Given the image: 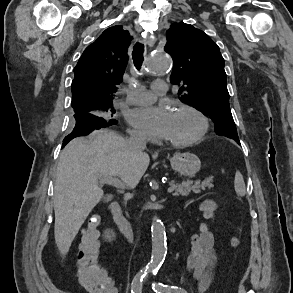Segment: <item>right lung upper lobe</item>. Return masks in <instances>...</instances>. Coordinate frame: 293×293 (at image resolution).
<instances>
[{
    "label": "right lung upper lobe",
    "instance_id": "obj_1",
    "mask_svg": "<svg viewBox=\"0 0 293 293\" xmlns=\"http://www.w3.org/2000/svg\"><path fill=\"white\" fill-rule=\"evenodd\" d=\"M131 40L129 32L117 25L107 28L85 49L74 68L72 107L75 114L96 115L92 109L94 104L112 102L116 86L123 80Z\"/></svg>",
    "mask_w": 293,
    "mask_h": 293
}]
</instances>
